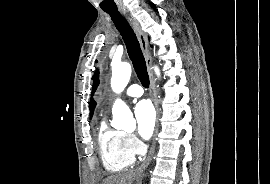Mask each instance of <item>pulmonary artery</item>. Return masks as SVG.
<instances>
[{
    "label": "pulmonary artery",
    "instance_id": "pulmonary-artery-1",
    "mask_svg": "<svg viewBox=\"0 0 270 184\" xmlns=\"http://www.w3.org/2000/svg\"><path fill=\"white\" fill-rule=\"evenodd\" d=\"M125 94L129 97H140L143 94V89L138 84L130 85Z\"/></svg>",
    "mask_w": 270,
    "mask_h": 184
}]
</instances>
